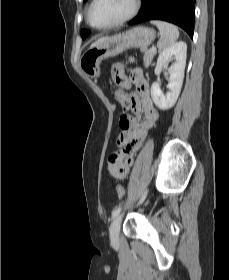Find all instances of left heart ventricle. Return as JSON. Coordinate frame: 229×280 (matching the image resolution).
I'll use <instances>...</instances> for the list:
<instances>
[{
    "instance_id": "left-heart-ventricle-1",
    "label": "left heart ventricle",
    "mask_w": 229,
    "mask_h": 280,
    "mask_svg": "<svg viewBox=\"0 0 229 280\" xmlns=\"http://www.w3.org/2000/svg\"><path fill=\"white\" fill-rule=\"evenodd\" d=\"M132 8V0H97L91 13V21L103 26L127 15Z\"/></svg>"
}]
</instances>
